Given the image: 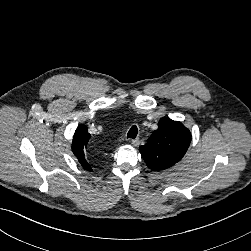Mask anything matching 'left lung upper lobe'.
<instances>
[{
	"mask_svg": "<svg viewBox=\"0 0 251 251\" xmlns=\"http://www.w3.org/2000/svg\"><path fill=\"white\" fill-rule=\"evenodd\" d=\"M191 142L190 131L178 121L161 118L145 145L139 151L149 168L160 171L172 167L186 153Z\"/></svg>",
	"mask_w": 251,
	"mask_h": 251,
	"instance_id": "5c2ea615",
	"label": "left lung upper lobe"
}]
</instances>
